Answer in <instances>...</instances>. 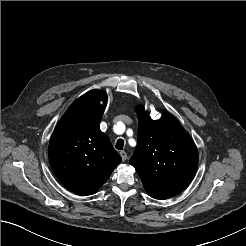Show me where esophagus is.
Masks as SVG:
<instances>
[{
    "mask_svg": "<svg viewBox=\"0 0 246 246\" xmlns=\"http://www.w3.org/2000/svg\"><path fill=\"white\" fill-rule=\"evenodd\" d=\"M120 156L122 158V161H126L127 159V153L125 151H120Z\"/></svg>",
    "mask_w": 246,
    "mask_h": 246,
    "instance_id": "34e87169",
    "label": "esophagus"
}]
</instances>
